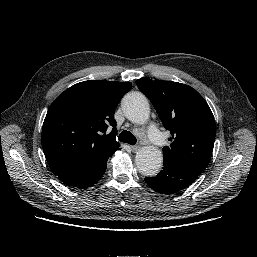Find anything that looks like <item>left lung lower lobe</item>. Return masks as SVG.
Here are the masks:
<instances>
[{"label": "left lung lower lobe", "instance_id": "0a47b994", "mask_svg": "<svg viewBox=\"0 0 257 257\" xmlns=\"http://www.w3.org/2000/svg\"><path fill=\"white\" fill-rule=\"evenodd\" d=\"M163 164V169L158 175L145 178V182L161 194H173L183 190L199 176L192 169L179 163L163 159Z\"/></svg>", "mask_w": 257, "mask_h": 257}]
</instances>
